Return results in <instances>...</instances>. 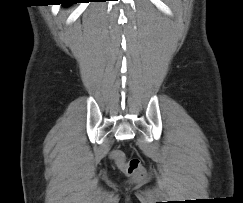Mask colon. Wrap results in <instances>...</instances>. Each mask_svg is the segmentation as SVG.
<instances>
[{
  "label": "colon",
  "mask_w": 243,
  "mask_h": 203,
  "mask_svg": "<svg viewBox=\"0 0 243 203\" xmlns=\"http://www.w3.org/2000/svg\"><path fill=\"white\" fill-rule=\"evenodd\" d=\"M111 157L127 176L132 177L135 180L144 178L145 172L139 159L133 158L125 160L123 153L118 150L112 151Z\"/></svg>",
  "instance_id": "colon-1"
}]
</instances>
